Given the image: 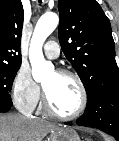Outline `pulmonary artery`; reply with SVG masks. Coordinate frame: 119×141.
Masks as SVG:
<instances>
[{
    "mask_svg": "<svg viewBox=\"0 0 119 141\" xmlns=\"http://www.w3.org/2000/svg\"><path fill=\"white\" fill-rule=\"evenodd\" d=\"M44 54L49 59H56L60 54L59 44L55 40H49L43 48Z\"/></svg>",
    "mask_w": 119,
    "mask_h": 141,
    "instance_id": "1",
    "label": "pulmonary artery"
}]
</instances>
